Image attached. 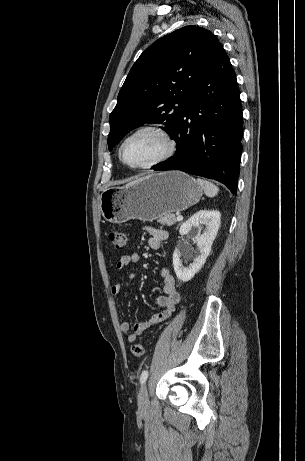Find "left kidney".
Returning <instances> with one entry per match:
<instances>
[{"instance_id": "left-kidney-1", "label": "left kidney", "mask_w": 305, "mask_h": 461, "mask_svg": "<svg viewBox=\"0 0 305 461\" xmlns=\"http://www.w3.org/2000/svg\"><path fill=\"white\" fill-rule=\"evenodd\" d=\"M220 222L221 214L219 211L200 210L181 225L179 230L181 236L189 234L192 230L196 234L195 238L199 253L189 267H184L181 257L189 252V249L180 245L179 240V247L173 253V267L177 278L182 282L191 280L206 262L213 241L216 238ZM201 230H203V234L200 233Z\"/></svg>"}]
</instances>
